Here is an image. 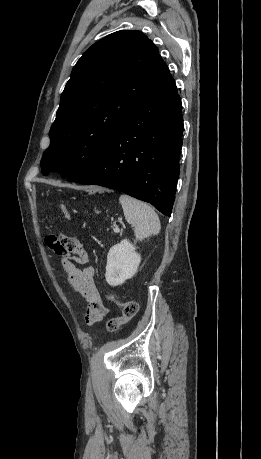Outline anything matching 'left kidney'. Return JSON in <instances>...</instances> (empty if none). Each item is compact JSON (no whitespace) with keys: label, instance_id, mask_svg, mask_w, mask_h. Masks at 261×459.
Masks as SVG:
<instances>
[{"label":"left kidney","instance_id":"left-kidney-1","mask_svg":"<svg viewBox=\"0 0 261 459\" xmlns=\"http://www.w3.org/2000/svg\"><path fill=\"white\" fill-rule=\"evenodd\" d=\"M135 250L136 247L127 239L110 248L105 273L110 286L122 285L136 274L141 256Z\"/></svg>","mask_w":261,"mask_h":459}]
</instances>
